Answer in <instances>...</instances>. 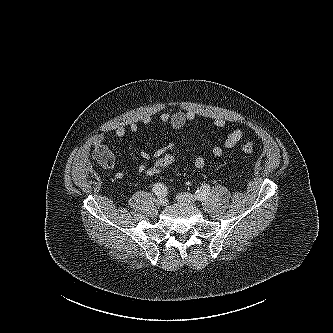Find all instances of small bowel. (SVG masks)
Instances as JSON below:
<instances>
[{
    "mask_svg": "<svg viewBox=\"0 0 333 333\" xmlns=\"http://www.w3.org/2000/svg\"><path fill=\"white\" fill-rule=\"evenodd\" d=\"M196 118V114L194 112H183L177 111L174 113L163 112L160 115V121L164 125H170L171 128L175 131H180L183 127L188 123L193 121ZM146 123L149 120L145 121ZM225 120L223 118H216L213 121V125L217 129H222L225 127ZM129 130L131 132H137L138 126L133 123L129 126ZM115 136L118 138H122L127 133V128L123 125L117 126L115 128ZM243 132L241 129L237 128L232 130L227 137L223 140L221 145H215L212 148V154L215 157L222 156L225 149L234 148L242 139ZM174 148L173 143H168L165 146L155 150L154 152H149L143 150L140 153V156L144 160L156 159L159 156L172 151ZM93 158L94 160L104 169H106L112 176L120 180L124 177V173L122 171H114L115 166V156L113 152L109 149L108 146L104 143V135L98 134L93 139ZM206 165V160L202 155H197L194 159V166L197 170H202ZM146 165L140 164L137 167V171L139 173H145Z\"/></svg>",
    "mask_w": 333,
    "mask_h": 333,
    "instance_id": "small-bowel-1",
    "label": "small bowel"
}]
</instances>
